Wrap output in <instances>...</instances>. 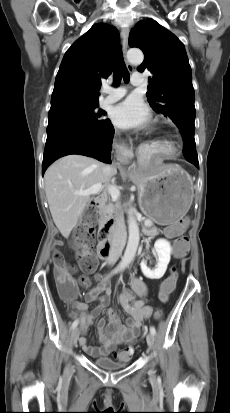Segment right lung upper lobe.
<instances>
[{
  "instance_id": "cb5924a9",
  "label": "right lung upper lobe",
  "mask_w": 230,
  "mask_h": 413,
  "mask_svg": "<svg viewBox=\"0 0 230 413\" xmlns=\"http://www.w3.org/2000/svg\"><path fill=\"white\" fill-rule=\"evenodd\" d=\"M118 35L115 27L98 23L71 45L56 76L50 109L99 104L101 79L112 73Z\"/></svg>"
}]
</instances>
